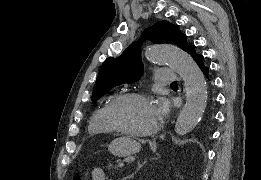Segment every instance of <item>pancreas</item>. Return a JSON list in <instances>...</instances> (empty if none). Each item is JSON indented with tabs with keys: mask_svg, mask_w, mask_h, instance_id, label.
Here are the masks:
<instances>
[{
	"mask_svg": "<svg viewBox=\"0 0 261 180\" xmlns=\"http://www.w3.org/2000/svg\"><path fill=\"white\" fill-rule=\"evenodd\" d=\"M116 160L115 159H110L109 162L106 163L107 170H116L117 166L115 165Z\"/></svg>",
	"mask_w": 261,
	"mask_h": 180,
	"instance_id": "cf45deb5",
	"label": "pancreas"
}]
</instances>
